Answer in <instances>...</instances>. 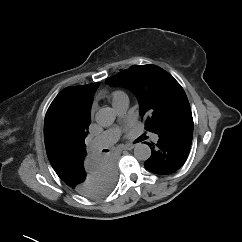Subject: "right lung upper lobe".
<instances>
[{
    "label": "right lung upper lobe",
    "instance_id": "obj_1",
    "mask_svg": "<svg viewBox=\"0 0 242 242\" xmlns=\"http://www.w3.org/2000/svg\"><path fill=\"white\" fill-rule=\"evenodd\" d=\"M99 83L68 87L49 106L44 120L48 159L58 176L86 155L85 137L91 123V105Z\"/></svg>",
    "mask_w": 242,
    "mask_h": 242
}]
</instances>
